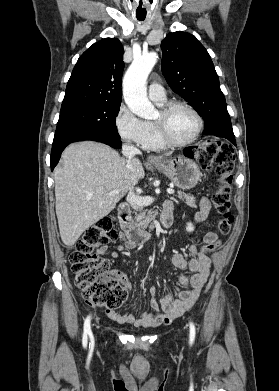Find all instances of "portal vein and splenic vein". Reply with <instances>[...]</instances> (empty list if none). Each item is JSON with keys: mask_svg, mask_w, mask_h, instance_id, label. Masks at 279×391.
Listing matches in <instances>:
<instances>
[{"mask_svg": "<svg viewBox=\"0 0 279 391\" xmlns=\"http://www.w3.org/2000/svg\"><path fill=\"white\" fill-rule=\"evenodd\" d=\"M137 192L138 193H141L142 192V190L140 189V188H137ZM174 190L173 189H171V188H169V189H167V193L168 194H174ZM120 193V190H113V191H111L110 193H109V195L110 196H113V195H116V194H119Z\"/></svg>", "mask_w": 279, "mask_h": 391, "instance_id": "portal-vein-and-splenic-vein-1", "label": "portal vein and splenic vein"}]
</instances>
